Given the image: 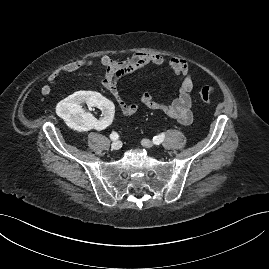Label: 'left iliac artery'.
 <instances>
[{
	"label": "left iliac artery",
	"instance_id": "1",
	"mask_svg": "<svg viewBox=\"0 0 269 269\" xmlns=\"http://www.w3.org/2000/svg\"><path fill=\"white\" fill-rule=\"evenodd\" d=\"M164 137H165L164 133H161L160 135L153 137V143L159 145L164 140Z\"/></svg>",
	"mask_w": 269,
	"mask_h": 269
}]
</instances>
